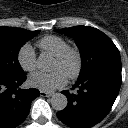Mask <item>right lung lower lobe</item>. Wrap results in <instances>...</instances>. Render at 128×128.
Listing matches in <instances>:
<instances>
[{"mask_svg": "<svg viewBox=\"0 0 128 128\" xmlns=\"http://www.w3.org/2000/svg\"><path fill=\"white\" fill-rule=\"evenodd\" d=\"M25 73L14 78L0 77V128H15L29 114L31 102L40 95L38 89H18Z\"/></svg>", "mask_w": 128, "mask_h": 128, "instance_id": "right-lung-lower-lobe-1", "label": "right lung lower lobe"}]
</instances>
